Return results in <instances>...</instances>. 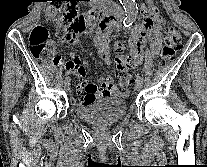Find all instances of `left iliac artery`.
<instances>
[{
    "instance_id": "left-iliac-artery-1",
    "label": "left iliac artery",
    "mask_w": 207,
    "mask_h": 167,
    "mask_svg": "<svg viewBox=\"0 0 207 167\" xmlns=\"http://www.w3.org/2000/svg\"><path fill=\"white\" fill-rule=\"evenodd\" d=\"M136 80L143 81V78L140 75H137Z\"/></svg>"
}]
</instances>
